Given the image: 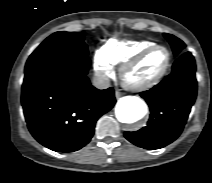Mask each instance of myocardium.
I'll list each match as a JSON object with an SVG mask.
<instances>
[{
	"instance_id": "f54148a6",
	"label": "myocardium",
	"mask_w": 212,
	"mask_h": 183,
	"mask_svg": "<svg viewBox=\"0 0 212 183\" xmlns=\"http://www.w3.org/2000/svg\"><path fill=\"white\" fill-rule=\"evenodd\" d=\"M158 48H163L167 52V62L164 66V68L152 79L141 83V84H132L129 83L126 79V76L128 72L133 69L135 66H137L150 52H152L155 49ZM172 63V52L170 48L164 44H154L149 47H146L145 49L141 50L139 53H137L133 58L122 64L120 68V79L123 84V86L131 91L135 92H143L146 90H149L156 86L162 79L163 77L167 74L168 70L171 67Z\"/></svg>"
}]
</instances>
